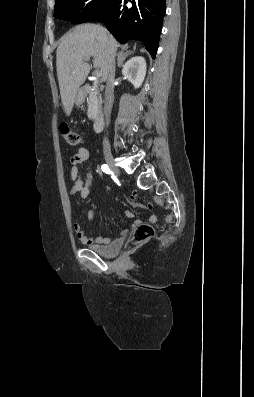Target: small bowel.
Here are the masks:
<instances>
[{"mask_svg":"<svg viewBox=\"0 0 254 397\" xmlns=\"http://www.w3.org/2000/svg\"><path fill=\"white\" fill-rule=\"evenodd\" d=\"M90 153L88 149L81 147L77 150V152L71 157V168H70V177L73 181V185L70 190V194L72 196H79L81 199L88 198L90 194V188L92 185L93 175L91 168L88 166L85 170H81L78 166L85 164L89 160ZM134 205H137L136 202H131ZM125 216L128 218H132L133 214L129 211L124 212ZM95 212L94 210H89L88 212V221L92 222L94 220ZM148 221L151 223L156 222V216L150 215L148 217ZM141 223L140 220L134 221V226H137ZM73 229L75 231L76 236L80 240L81 243L85 245H103L108 244L110 242V238L108 237H90L83 230L82 226L79 223H75L73 225ZM127 230H123L122 234L125 235Z\"/></svg>","mask_w":254,"mask_h":397,"instance_id":"1","label":"small bowel"}]
</instances>
